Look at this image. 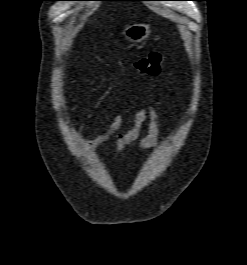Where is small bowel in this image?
Wrapping results in <instances>:
<instances>
[{"label":"small bowel","mask_w":247,"mask_h":265,"mask_svg":"<svg viewBox=\"0 0 247 265\" xmlns=\"http://www.w3.org/2000/svg\"><path fill=\"white\" fill-rule=\"evenodd\" d=\"M147 119L149 120L147 134L138 139L141 127ZM121 125L122 118L118 115L104 133L82 146L87 149L98 148L114 137L116 139L115 154L118 155L126 148H150L156 145L160 128L159 113L156 108H143L137 111L130 128L125 132L121 131Z\"/></svg>","instance_id":"1"}]
</instances>
